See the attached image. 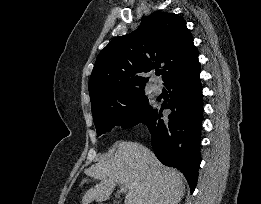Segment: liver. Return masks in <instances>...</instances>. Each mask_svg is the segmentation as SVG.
<instances>
[{
  "instance_id": "liver-1",
  "label": "liver",
  "mask_w": 261,
  "mask_h": 204,
  "mask_svg": "<svg viewBox=\"0 0 261 204\" xmlns=\"http://www.w3.org/2000/svg\"><path fill=\"white\" fill-rule=\"evenodd\" d=\"M114 155L102 159L85 170L100 180L87 190L82 204L109 199L117 184H125L128 192L124 204H178L184 196L182 174L165 167L154 153L142 144L130 141L115 143Z\"/></svg>"
}]
</instances>
